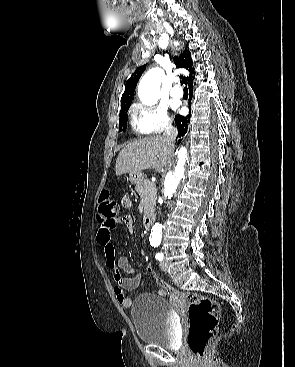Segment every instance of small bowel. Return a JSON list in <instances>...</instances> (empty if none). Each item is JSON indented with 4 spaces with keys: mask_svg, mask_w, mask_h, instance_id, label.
Segmentation results:
<instances>
[{
    "mask_svg": "<svg viewBox=\"0 0 295 367\" xmlns=\"http://www.w3.org/2000/svg\"><path fill=\"white\" fill-rule=\"evenodd\" d=\"M122 205L126 208L130 207L131 201L129 196L125 195L123 197ZM119 223H122L130 233L134 231V222L130 215L116 217L109 222L99 221L96 241L103 249L107 268L113 272V291L116 299L121 306L127 308L131 306L132 299L126 295V292L138 288L141 276L136 272L127 257L121 256L117 258L115 255L114 245L112 243V231ZM123 273L126 274V276H124Z\"/></svg>",
    "mask_w": 295,
    "mask_h": 367,
    "instance_id": "1",
    "label": "small bowel"
}]
</instances>
